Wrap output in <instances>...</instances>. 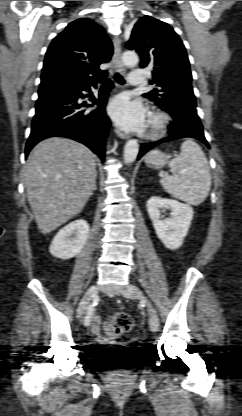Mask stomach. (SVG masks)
<instances>
[{"mask_svg": "<svg viewBox=\"0 0 242 416\" xmlns=\"http://www.w3.org/2000/svg\"><path fill=\"white\" fill-rule=\"evenodd\" d=\"M168 159L169 156L160 150H152L146 155L145 162L156 168H161L168 163Z\"/></svg>", "mask_w": 242, "mask_h": 416, "instance_id": "1", "label": "stomach"}]
</instances>
